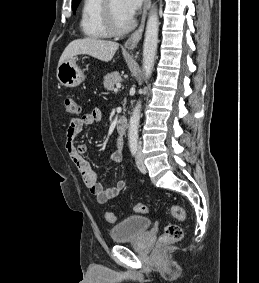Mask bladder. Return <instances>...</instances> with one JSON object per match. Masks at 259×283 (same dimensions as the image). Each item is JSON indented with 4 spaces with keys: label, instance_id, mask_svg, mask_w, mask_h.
<instances>
[{
    "label": "bladder",
    "instance_id": "obj_1",
    "mask_svg": "<svg viewBox=\"0 0 259 283\" xmlns=\"http://www.w3.org/2000/svg\"><path fill=\"white\" fill-rule=\"evenodd\" d=\"M150 227L151 221L148 217L129 216L112 227L111 238L114 242L135 239Z\"/></svg>",
    "mask_w": 259,
    "mask_h": 283
}]
</instances>
